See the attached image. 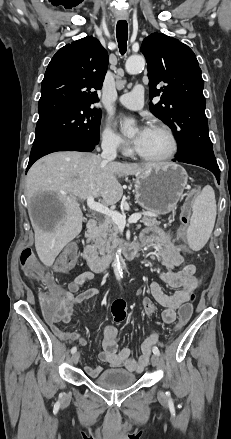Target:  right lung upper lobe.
Returning a JSON list of instances; mask_svg holds the SVG:
<instances>
[{"mask_svg": "<svg viewBox=\"0 0 231 439\" xmlns=\"http://www.w3.org/2000/svg\"><path fill=\"white\" fill-rule=\"evenodd\" d=\"M108 54L93 36L67 44L53 56L41 85L39 117L55 111L91 106L101 89Z\"/></svg>", "mask_w": 231, "mask_h": 439, "instance_id": "1", "label": "right lung upper lobe"}]
</instances>
